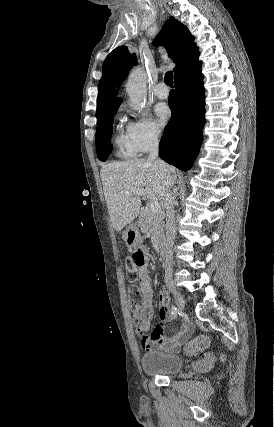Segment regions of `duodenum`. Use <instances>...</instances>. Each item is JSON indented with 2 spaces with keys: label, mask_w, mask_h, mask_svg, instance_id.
Instances as JSON below:
<instances>
[{
  "label": "duodenum",
  "mask_w": 274,
  "mask_h": 427,
  "mask_svg": "<svg viewBox=\"0 0 274 427\" xmlns=\"http://www.w3.org/2000/svg\"><path fill=\"white\" fill-rule=\"evenodd\" d=\"M158 253L163 259L166 258V246L163 242L159 243Z\"/></svg>",
  "instance_id": "duodenum-1"
}]
</instances>
